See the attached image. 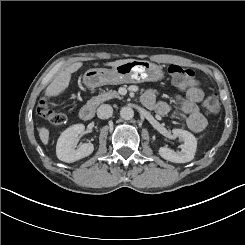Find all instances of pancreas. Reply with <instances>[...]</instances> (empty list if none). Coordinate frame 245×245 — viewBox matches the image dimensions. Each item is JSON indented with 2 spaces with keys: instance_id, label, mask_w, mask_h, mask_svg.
Segmentation results:
<instances>
[{
  "instance_id": "obj_1",
  "label": "pancreas",
  "mask_w": 245,
  "mask_h": 245,
  "mask_svg": "<svg viewBox=\"0 0 245 245\" xmlns=\"http://www.w3.org/2000/svg\"><path fill=\"white\" fill-rule=\"evenodd\" d=\"M113 98L121 99L122 97L115 90H105V91H102V93L98 96H92L87 101V104L98 106L101 103H103L107 100L113 99Z\"/></svg>"
}]
</instances>
